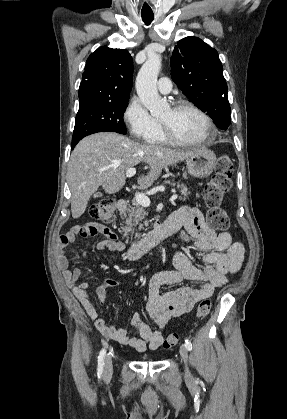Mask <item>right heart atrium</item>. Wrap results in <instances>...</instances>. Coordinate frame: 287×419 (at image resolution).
<instances>
[{"label":"right heart atrium","instance_id":"obj_1","mask_svg":"<svg viewBox=\"0 0 287 419\" xmlns=\"http://www.w3.org/2000/svg\"><path fill=\"white\" fill-rule=\"evenodd\" d=\"M123 120L133 137L147 142L161 130L160 123L137 97H133L128 103Z\"/></svg>","mask_w":287,"mask_h":419}]
</instances>
